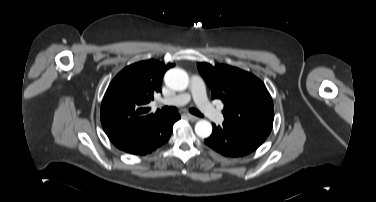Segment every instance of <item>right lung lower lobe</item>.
Segmentation results:
<instances>
[{
    "instance_id": "98d812e1",
    "label": "right lung lower lobe",
    "mask_w": 376,
    "mask_h": 202,
    "mask_svg": "<svg viewBox=\"0 0 376 202\" xmlns=\"http://www.w3.org/2000/svg\"><path fill=\"white\" fill-rule=\"evenodd\" d=\"M179 114L163 115L131 132L121 140L112 142L117 148L134 155H145L165 144L172 133Z\"/></svg>"
}]
</instances>
